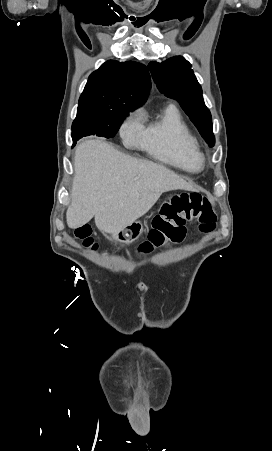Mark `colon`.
<instances>
[{
    "instance_id": "1",
    "label": "colon",
    "mask_w": 272,
    "mask_h": 451,
    "mask_svg": "<svg viewBox=\"0 0 272 451\" xmlns=\"http://www.w3.org/2000/svg\"><path fill=\"white\" fill-rule=\"evenodd\" d=\"M216 218L210 196L200 192L175 195L164 203L160 213L153 217L154 228L148 234L149 240L139 247V251L145 253L153 247L180 241L184 236L182 227L187 223H197L200 231L211 232L216 228ZM75 236L88 248L98 247L88 226L78 227Z\"/></svg>"
}]
</instances>
